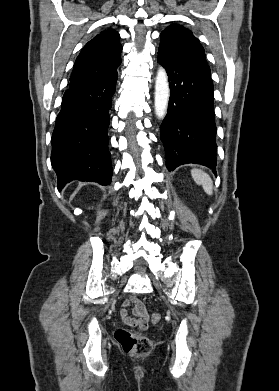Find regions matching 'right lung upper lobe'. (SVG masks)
Wrapping results in <instances>:
<instances>
[{"mask_svg":"<svg viewBox=\"0 0 279 391\" xmlns=\"http://www.w3.org/2000/svg\"><path fill=\"white\" fill-rule=\"evenodd\" d=\"M119 34L107 29L89 41L78 55L69 88L80 87L110 77L121 64Z\"/></svg>","mask_w":279,"mask_h":391,"instance_id":"cb5924a9","label":"right lung upper lobe"}]
</instances>
